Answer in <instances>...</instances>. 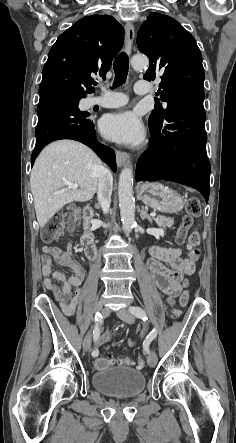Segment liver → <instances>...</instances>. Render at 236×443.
I'll return each instance as SVG.
<instances>
[{
    "label": "liver",
    "mask_w": 236,
    "mask_h": 443,
    "mask_svg": "<svg viewBox=\"0 0 236 443\" xmlns=\"http://www.w3.org/2000/svg\"><path fill=\"white\" fill-rule=\"evenodd\" d=\"M102 162L87 146L59 140L45 147L32 168L30 183L37 221L44 227L56 212L71 202H86L98 188ZM64 181L79 185L66 188Z\"/></svg>",
    "instance_id": "obj_1"
}]
</instances>
